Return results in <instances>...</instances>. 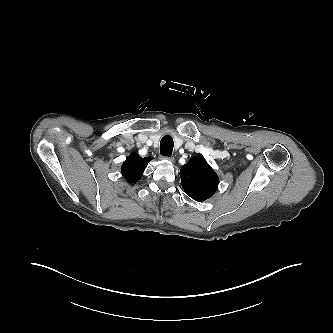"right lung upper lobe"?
Wrapping results in <instances>:
<instances>
[{"mask_svg": "<svg viewBox=\"0 0 333 333\" xmlns=\"http://www.w3.org/2000/svg\"><path fill=\"white\" fill-rule=\"evenodd\" d=\"M150 160V158H141L133 152L123 163L121 167L122 174L129 183H135L141 178L143 171Z\"/></svg>", "mask_w": 333, "mask_h": 333, "instance_id": "1", "label": "right lung upper lobe"}]
</instances>
